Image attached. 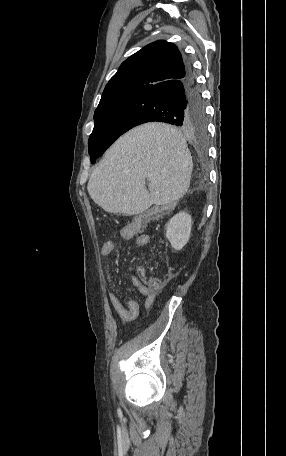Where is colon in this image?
I'll use <instances>...</instances> for the list:
<instances>
[{
  "label": "colon",
  "instance_id": "colon-1",
  "mask_svg": "<svg viewBox=\"0 0 286 456\" xmlns=\"http://www.w3.org/2000/svg\"><path fill=\"white\" fill-rule=\"evenodd\" d=\"M146 225V219L139 218L129 224L127 227L123 229L124 233L132 236L139 232H141ZM139 282H144L146 285L153 291H159L162 288L163 281L158 277H150L146 279L145 271L143 269H139L137 274L135 275Z\"/></svg>",
  "mask_w": 286,
  "mask_h": 456
}]
</instances>
